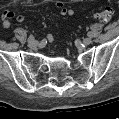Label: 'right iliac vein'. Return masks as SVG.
Returning a JSON list of instances; mask_svg holds the SVG:
<instances>
[{
	"instance_id": "1",
	"label": "right iliac vein",
	"mask_w": 119,
	"mask_h": 119,
	"mask_svg": "<svg viewBox=\"0 0 119 119\" xmlns=\"http://www.w3.org/2000/svg\"><path fill=\"white\" fill-rule=\"evenodd\" d=\"M36 45H37V42L35 40L28 41L29 48H34V47H36Z\"/></svg>"
}]
</instances>
